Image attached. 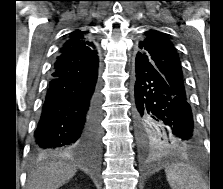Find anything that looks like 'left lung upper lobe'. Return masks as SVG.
<instances>
[{
  "instance_id": "1",
  "label": "left lung upper lobe",
  "mask_w": 223,
  "mask_h": 189,
  "mask_svg": "<svg viewBox=\"0 0 223 189\" xmlns=\"http://www.w3.org/2000/svg\"><path fill=\"white\" fill-rule=\"evenodd\" d=\"M136 60H140L154 67L169 84L177 87L185 98L187 94L184 87L181 63L172 43L160 32L149 30L139 42V51ZM142 143L152 147L169 149H189L178 142L159 126H148L139 132Z\"/></svg>"
}]
</instances>
